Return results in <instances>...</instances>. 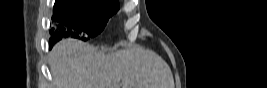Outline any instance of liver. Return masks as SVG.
<instances>
[{
	"mask_svg": "<svg viewBox=\"0 0 267 88\" xmlns=\"http://www.w3.org/2000/svg\"><path fill=\"white\" fill-rule=\"evenodd\" d=\"M55 88H174L168 64L141 47L105 54L76 39H63L49 53Z\"/></svg>",
	"mask_w": 267,
	"mask_h": 88,
	"instance_id": "liver-1",
	"label": "liver"
}]
</instances>
